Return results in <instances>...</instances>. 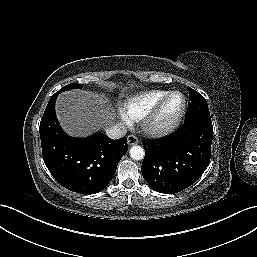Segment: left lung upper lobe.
Instances as JSON below:
<instances>
[{"mask_svg": "<svg viewBox=\"0 0 257 257\" xmlns=\"http://www.w3.org/2000/svg\"><path fill=\"white\" fill-rule=\"evenodd\" d=\"M188 110L185 121L203 120L211 121L209 108L205 98L197 91L190 89Z\"/></svg>", "mask_w": 257, "mask_h": 257, "instance_id": "obj_1", "label": "left lung upper lobe"}]
</instances>
